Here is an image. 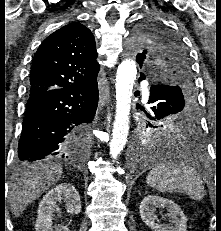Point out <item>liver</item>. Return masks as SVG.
Here are the masks:
<instances>
[{"label":"liver","mask_w":221,"mask_h":231,"mask_svg":"<svg viewBox=\"0 0 221 231\" xmlns=\"http://www.w3.org/2000/svg\"><path fill=\"white\" fill-rule=\"evenodd\" d=\"M62 173L60 164L50 162L19 169L9 183L12 214L19 217L29 204L59 181Z\"/></svg>","instance_id":"obj_1"}]
</instances>
